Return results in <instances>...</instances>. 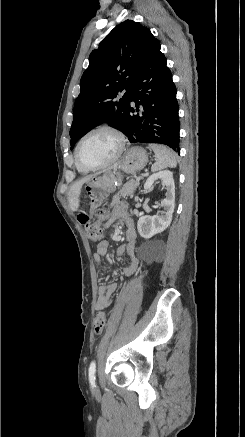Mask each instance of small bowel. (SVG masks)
Returning <instances> with one entry per match:
<instances>
[{"mask_svg": "<svg viewBox=\"0 0 245 437\" xmlns=\"http://www.w3.org/2000/svg\"><path fill=\"white\" fill-rule=\"evenodd\" d=\"M78 222L80 224H87L89 222V215L86 208H79L77 211ZM125 220L126 222V239L127 243L120 245L117 249L118 256L126 254L129 257V264L123 269V274L126 276L133 275L139 265V259L136 255V239L137 234L133 221L128 217L127 206L125 204H120L112 212L111 218L107 225L111 222ZM108 242L101 241L98 246L96 253L94 254V263L99 266L101 265V258L107 252ZM116 289L115 283H109L107 285L100 286L98 289V298L96 302V309L102 310L109 306L112 298V294Z\"/></svg>", "mask_w": 245, "mask_h": 437, "instance_id": "small-bowel-1", "label": "small bowel"}]
</instances>
